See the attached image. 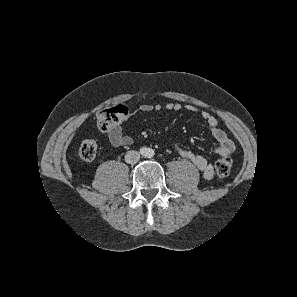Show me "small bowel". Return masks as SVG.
<instances>
[{"label": "small bowel", "mask_w": 297, "mask_h": 297, "mask_svg": "<svg viewBox=\"0 0 297 297\" xmlns=\"http://www.w3.org/2000/svg\"><path fill=\"white\" fill-rule=\"evenodd\" d=\"M182 109H185L189 112L200 114L201 118L205 122V125L210 130L213 139L216 141V146L213 149L216 155L226 157L234 151L235 146L233 141L227 136V134L222 129L218 127L217 119L208 111H199L196 107L192 105H182L180 103H167L165 105L157 104L155 106L143 105L140 108V111L160 112L162 110L181 111ZM108 137L111 144L115 147H126L133 143V138L123 133V128L120 124L114 125L108 131ZM176 151L182 158L192 162V164L202 172L205 179H211L214 176V167L212 164L208 162V160L204 156L196 154L181 146H176Z\"/></svg>", "instance_id": "c3829d8e"}]
</instances>
